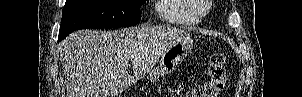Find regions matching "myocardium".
Returning a JSON list of instances; mask_svg holds the SVG:
<instances>
[{
    "label": "myocardium",
    "instance_id": "myocardium-1",
    "mask_svg": "<svg viewBox=\"0 0 302 97\" xmlns=\"http://www.w3.org/2000/svg\"><path fill=\"white\" fill-rule=\"evenodd\" d=\"M190 12L198 18H202L206 16L211 10V0H201V7L200 9L197 0H185Z\"/></svg>",
    "mask_w": 302,
    "mask_h": 97
}]
</instances>
